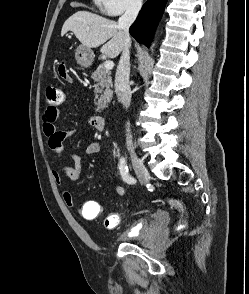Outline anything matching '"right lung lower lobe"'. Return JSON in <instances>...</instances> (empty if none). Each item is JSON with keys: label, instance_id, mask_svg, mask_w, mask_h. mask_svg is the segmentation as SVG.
<instances>
[{"label": "right lung lower lobe", "instance_id": "right-lung-lower-lobe-1", "mask_svg": "<svg viewBox=\"0 0 249 294\" xmlns=\"http://www.w3.org/2000/svg\"><path fill=\"white\" fill-rule=\"evenodd\" d=\"M167 0H148L136 21L130 27V34L139 42L149 46Z\"/></svg>", "mask_w": 249, "mask_h": 294}]
</instances>
